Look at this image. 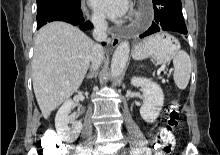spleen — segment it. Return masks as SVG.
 Returning a JSON list of instances; mask_svg holds the SVG:
<instances>
[{"mask_svg": "<svg viewBox=\"0 0 220 155\" xmlns=\"http://www.w3.org/2000/svg\"><path fill=\"white\" fill-rule=\"evenodd\" d=\"M174 82L180 90L186 89L191 75L192 64L187 52L180 50L173 59Z\"/></svg>", "mask_w": 220, "mask_h": 155, "instance_id": "obj_1", "label": "spleen"}]
</instances>
